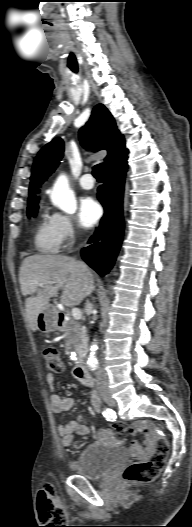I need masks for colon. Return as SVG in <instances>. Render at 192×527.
Returning a JSON list of instances; mask_svg holds the SVG:
<instances>
[{"label": "colon", "mask_w": 192, "mask_h": 527, "mask_svg": "<svg viewBox=\"0 0 192 527\" xmlns=\"http://www.w3.org/2000/svg\"><path fill=\"white\" fill-rule=\"evenodd\" d=\"M42 354L45 359L46 367L49 371L54 373H61L64 370V363L61 358L59 350L52 345H45L42 348ZM112 427L117 432L126 431L127 427L119 422L112 424ZM157 439L155 444V450L152 456L147 461H138L130 463L123 471L122 477L127 482H152L154 481L167 462L169 443L164 434L157 430ZM53 494L52 486H47L39 496L38 507L41 513H44L47 509L52 512H58L60 515L63 514L61 508H57L53 505L51 496Z\"/></svg>", "instance_id": "colon-1"}]
</instances>
